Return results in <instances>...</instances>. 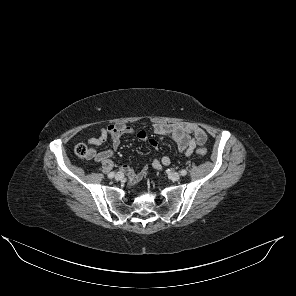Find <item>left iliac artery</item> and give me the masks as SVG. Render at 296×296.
<instances>
[{"label": "left iliac artery", "instance_id": "44dca946", "mask_svg": "<svg viewBox=\"0 0 296 296\" xmlns=\"http://www.w3.org/2000/svg\"><path fill=\"white\" fill-rule=\"evenodd\" d=\"M180 173H181L182 176H185L187 174V171L185 169H183V170H181Z\"/></svg>", "mask_w": 296, "mask_h": 296}]
</instances>
